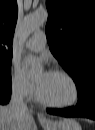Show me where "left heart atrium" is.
Wrapping results in <instances>:
<instances>
[{"instance_id":"39dd6f15","label":"left heart atrium","mask_w":95,"mask_h":130,"mask_svg":"<svg viewBox=\"0 0 95 130\" xmlns=\"http://www.w3.org/2000/svg\"><path fill=\"white\" fill-rule=\"evenodd\" d=\"M35 61V59H27L26 61H25V68L26 69H29V67L31 66V64L33 63ZM48 72H45V73H43L44 75H46Z\"/></svg>"}]
</instances>
